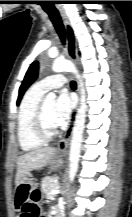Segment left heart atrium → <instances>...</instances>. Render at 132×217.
<instances>
[{
  "mask_svg": "<svg viewBox=\"0 0 132 217\" xmlns=\"http://www.w3.org/2000/svg\"><path fill=\"white\" fill-rule=\"evenodd\" d=\"M75 102L73 97L67 92H61L55 101L53 109V123L55 127L65 124L74 108Z\"/></svg>",
  "mask_w": 132,
  "mask_h": 217,
  "instance_id": "left-heart-atrium-1",
  "label": "left heart atrium"
}]
</instances>
